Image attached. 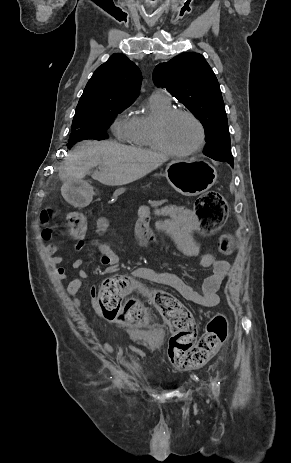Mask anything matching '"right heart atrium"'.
I'll return each mask as SVG.
<instances>
[{
    "instance_id": "obj_1",
    "label": "right heart atrium",
    "mask_w": 291,
    "mask_h": 463,
    "mask_svg": "<svg viewBox=\"0 0 291 463\" xmlns=\"http://www.w3.org/2000/svg\"><path fill=\"white\" fill-rule=\"evenodd\" d=\"M112 131L117 139L130 141L133 131L132 117L127 112L119 114L112 124Z\"/></svg>"
}]
</instances>
